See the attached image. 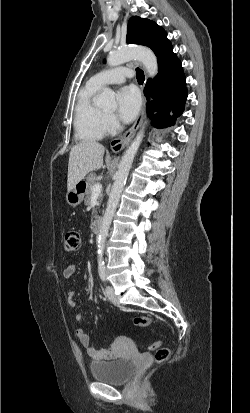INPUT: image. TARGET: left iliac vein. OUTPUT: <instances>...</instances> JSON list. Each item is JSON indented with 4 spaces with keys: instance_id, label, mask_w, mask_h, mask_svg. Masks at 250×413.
<instances>
[{
    "instance_id": "obj_1",
    "label": "left iliac vein",
    "mask_w": 250,
    "mask_h": 413,
    "mask_svg": "<svg viewBox=\"0 0 250 413\" xmlns=\"http://www.w3.org/2000/svg\"><path fill=\"white\" fill-rule=\"evenodd\" d=\"M105 291H106V295H107L108 299H109L112 303H114V304H118V303H119L118 298L116 297L115 292H114V289H113L112 286L108 285V286L106 287V290H105Z\"/></svg>"
}]
</instances>
